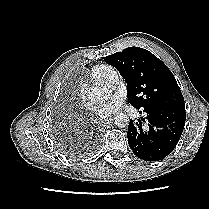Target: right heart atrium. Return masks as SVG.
I'll list each match as a JSON object with an SVG mask.
<instances>
[{
  "mask_svg": "<svg viewBox=\"0 0 209 209\" xmlns=\"http://www.w3.org/2000/svg\"><path fill=\"white\" fill-rule=\"evenodd\" d=\"M79 96H80L81 102H82L86 107H89V103L87 102L86 90H85V89H81Z\"/></svg>",
  "mask_w": 209,
  "mask_h": 209,
  "instance_id": "d8ad5b80",
  "label": "right heart atrium"
}]
</instances>
